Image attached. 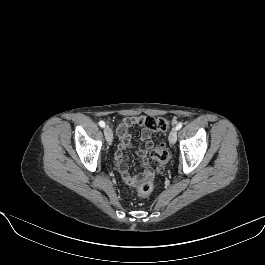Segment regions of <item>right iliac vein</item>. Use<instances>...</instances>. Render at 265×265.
<instances>
[{
  "instance_id": "right-iliac-vein-1",
  "label": "right iliac vein",
  "mask_w": 265,
  "mask_h": 265,
  "mask_svg": "<svg viewBox=\"0 0 265 265\" xmlns=\"http://www.w3.org/2000/svg\"><path fill=\"white\" fill-rule=\"evenodd\" d=\"M104 135H105V138H106V141L108 143H111L112 140H113V131L110 127H105L104 129Z\"/></svg>"
}]
</instances>
